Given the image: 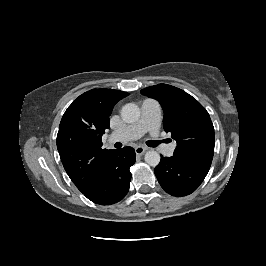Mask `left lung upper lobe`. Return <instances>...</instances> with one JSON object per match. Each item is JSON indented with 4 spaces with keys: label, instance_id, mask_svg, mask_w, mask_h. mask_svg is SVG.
Segmentation results:
<instances>
[{
    "label": "left lung upper lobe",
    "instance_id": "obj_1",
    "mask_svg": "<svg viewBox=\"0 0 266 266\" xmlns=\"http://www.w3.org/2000/svg\"><path fill=\"white\" fill-rule=\"evenodd\" d=\"M141 93L161 104L164 129L177 142L173 157L184 161L212 162L214 127L208 112L195 98L167 84L147 87Z\"/></svg>",
    "mask_w": 266,
    "mask_h": 266
}]
</instances>
